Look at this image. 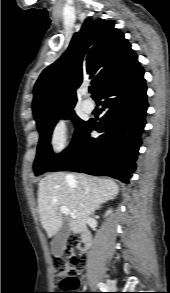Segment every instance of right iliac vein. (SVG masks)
<instances>
[{
    "label": "right iliac vein",
    "mask_w": 170,
    "mask_h": 293,
    "mask_svg": "<svg viewBox=\"0 0 170 293\" xmlns=\"http://www.w3.org/2000/svg\"><path fill=\"white\" fill-rule=\"evenodd\" d=\"M107 287H108V290H111V291L116 289L115 283L111 280H107Z\"/></svg>",
    "instance_id": "right-iliac-vein-1"
}]
</instances>
